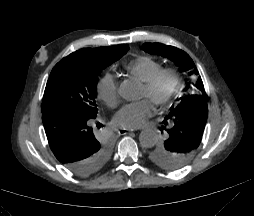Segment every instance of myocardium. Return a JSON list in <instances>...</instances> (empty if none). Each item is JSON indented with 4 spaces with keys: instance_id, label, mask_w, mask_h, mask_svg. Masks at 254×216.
<instances>
[{
    "instance_id": "1",
    "label": "myocardium",
    "mask_w": 254,
    "mask_h": 216,
    "mask_svg": "<svg viewBox=\"0 0 254 216\" xmlns=\"http://www.w3.org/2000/svg\"><path fill=\"white\" fill-rule=\"evenodd\" d=\"M165 80L167 81V87L164 93L153 98V102L156 105H163L173 97L179 83L178 72L174 68H161L144 82V89L153 91Z\"/></svg>"
}]
</instances>
